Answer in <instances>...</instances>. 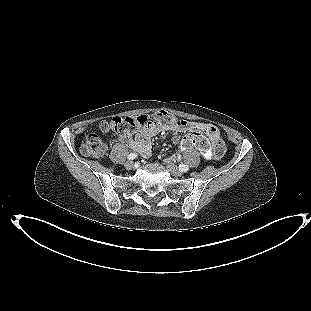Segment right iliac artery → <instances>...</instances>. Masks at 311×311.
I'll return each instance as SVG.
<instances>
[{"label":"right iliac artery","instance_id":"right-iliac-artery-1","mask_svg":"<svg viewBox=\"0 0 311 311\" xmlns=\"http://www.w3.org/2000/svg\"><path fill=\"white\" fill-rule=\"evenodd\" d=\"M136 157H137V154L131 153V154L128 155L127 158H128L129 160H133V159H135Z\"/></svg>","mask_w":311,"mask_h":311}]
</instances>
